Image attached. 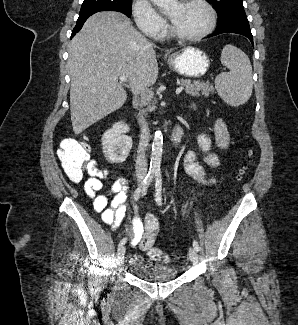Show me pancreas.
<instances>
[{"instance_id": "cf45deb5", "label": "pancreas", "mask_w": 298, "mask_h": 325, "mask_svg": "<svg viewBox=\"0 0 298 325\" xmlns=\"http://www.w3.org/2000/svg\"><path fill=\"white\" fill-rule=\"evenodd\" d=\"M179 80L180 84L185 86L186 94H191V96H210L213 94L215 88L210 84V82H202V80H191V78H176ZM156 106L153 102H148L147 108H143L141 112H146V110H155ZM139 120H143V116H140Z\"/></svg>"}]
</instances>
